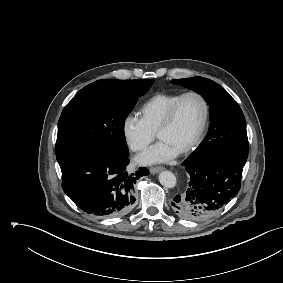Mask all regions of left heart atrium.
I'll list each match as a JSON object with an SVG mask.
<instances>
[{
  "instance_id": "39dd6f15",
  "label": "left heart atrium",
  "mask_w": 283,
  "mask_h": 283,
  "mask_svg": "<svg viewBox=\"0 0 283 283\" xmlns=\"http://www.w3.org/2000/svg\"><path fill=\"white\" fill-rule=\"evenodd\" d=\"M179 152L165 141H160L138 156L140 164H155L168 162L174 159Z\"/></svg>"
}]
</instances>
